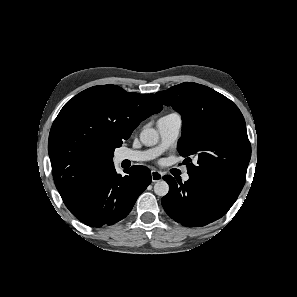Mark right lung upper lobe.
I'll return each instance as SVG.
<instances>
[{"instance_id":"1","label":"right lung upper lobe","mask_w":297,"mask_h":297,"mask_svg":"<svg viewBox=\"0 0 297 297\" xmlns=\"http://www.w3.org/2000/svg\"><path fill=\"white\" fill-rule=\"evenodd\" d=\"M162 108L154 94L128 93L116 85L94 86L68 101L48 141L53 178L65 205L112 170L115 148Z\"/></svg>"}]
</instances>
